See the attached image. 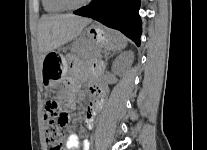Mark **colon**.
Listing matches in <instances>:
<instances>
[{
	"label": "colon",
	"mask_w": 207,
	"mask_h": 150,
	"mask_svg": "<svg viewBox=\"0 0 207 150\" xmlns=\"http://www.w3.org/2000/svg\"><path fill=\"white\" fill-rule=\"evenodd\" d=\"M45 137L49 150H65L64 128L68 113L60 103L51 99L46 103Z\"/></svg>",
	"instance_id": "1"
}]
</instances>
